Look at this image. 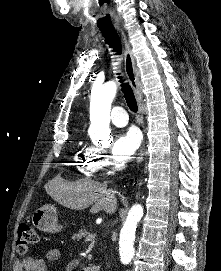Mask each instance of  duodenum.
Returning <instances> with one entry per match:
<instances>
[{
    "instance_id": "410a0bca",
    "label": "duodenum",
    "mask_w": 221,
    "mask_h": 271,
    "mask_svg": "<svg viewBox=\"0 0 221 271\" xmlns=\"http://www.w3.org/2000/svg\"><path fill=\"white\" fill-rule=\"evenodd\" d=\"M99 270H100V266L95 264V265L83 267L80 271H99Z\"/></svg>"
}]
</instances>
